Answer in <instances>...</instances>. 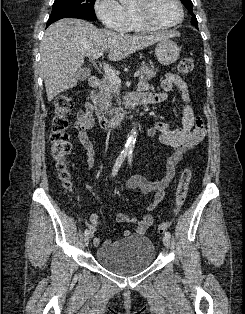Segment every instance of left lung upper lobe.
Segmentation results:
<instances>
[{
	"label": "left lung upper lobe",
	"instance_id": "5c2ea615",
	"mask_svg": "<svg viewBox=\"0 0 245 314\" xmlns=\"http://www.w3.org/2000/svg\"><path fill=\"white\" fill-rule=\"evenodd\" d=\"M184 6L188 9L189 13L191 14L192 16V19H191V23L198 29V21L196 19V16L194 15L193 13V3L191 0H180Z\"/></svg>",
	"mask_w": 245,
	"mask_h": 314
}]
</instances>
